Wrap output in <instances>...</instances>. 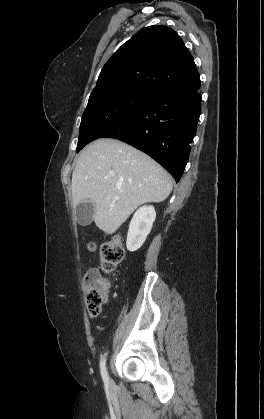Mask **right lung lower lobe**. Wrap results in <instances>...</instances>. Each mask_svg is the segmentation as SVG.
I'll use <instances>...</instances> for the list:
<instances>
[{"instance_id":"98d812e1","label":"right lung lower lobe","mask_w":264,"mask_h":419,"mask_svg":"<svg viewBox=\"0 0 264 419\" xmlns=\"http://www.w3.org/2000/svg\"><path fill=\"white\" fill-rule=\"evenodd\" d=\"M200 81L157 92L100 138H115L145 152L178 182L186 167L200 116Z\"/></svg>"}]
</instances>
